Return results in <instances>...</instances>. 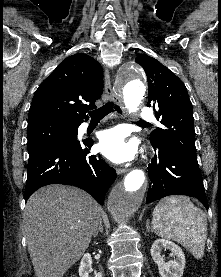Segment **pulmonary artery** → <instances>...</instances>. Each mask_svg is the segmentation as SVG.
<instances>
[{
  "instance_id": "e3ab8cb5",
  "label": "pulmonary artery",
  "mask_w": 221,
  "mask_h": 277,
  "mask_svg": "<svg viewBox=\"0 0 221 277\" xmlns=\"http://www.w3.org/2000/svg\"><path fill=\"white\" fill-rule=\"evenodd\" d=\"M140 118L145 122L152 121L154 120V115L149 108H143L140 112ZM84 127H87V125H85Z\"/></svg>"
}]
</instances>
